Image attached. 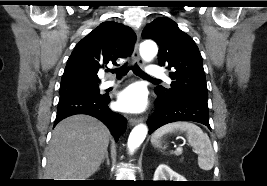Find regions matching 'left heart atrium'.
I'll return each instance as SVG.
<instances>
[{"instance_id":"1","label":"left heart atrium","mask_w":267,"mask_h":186,"mask_svg":"<svg viewBox=\"0 0 267 186\" xmlns=\"http://www.w3.org/2000/svg\"><path fill=\"white\" fill-rule=\"evenodd\" d=\"M147 103L146 90L138 84L128 86L118 94L117 98L118 108L128 113H140L144 111Z\"/></svg>"}]
</instances>
